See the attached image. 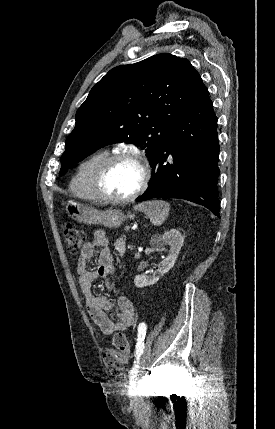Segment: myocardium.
Masks as SVG:
<instances>
[{
  "label": "myocardium",
  "mask_w": 275,
  "mask_h": 429,
  "mask_svg": "<svg viewBox=\"0 0 275 429\" xmlns=\"http://www.w3.org/2000/svg\"><path fill=\"white\" fill-rule=\"evenodd\" d=\"M121 160H132L136 162L141 169V181L138 188L129 196L126 197H114L109 195L104 189V181L106 175L113 164ZM150 178V169L146 159L137 152L134 151H122L118 153L111 154L107 156L96 169L93 180L92 188L93 192L98 200L114 203V204H124L129 203L137 199L148 186Z\"/></svg>",
  "instance_id": "f54148a6"
}]
</instances>
